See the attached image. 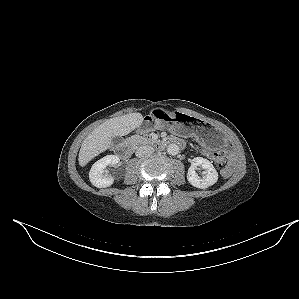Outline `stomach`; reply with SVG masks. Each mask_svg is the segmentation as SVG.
Listing matches in <instances>:
<instances>
[{"instance_id": "0dacf381", "label": "stomach", "mask_w": 299, "mask_h": 299, "mask_svg": "<svg viewBox=\"0 0 299 299\" xmlns=\"http://www.w3.org/2000/svg\"><path fill=\"white\" fill-rule=\"evenodd\" d=\"M156 129H174L181 133L194 136L198 142L209 149L220 148L224 142V134L214 126L199 123L191 115L182 112L168 113L155 108L139 127L141 133Z\"/></svg>"}]
</instances>
